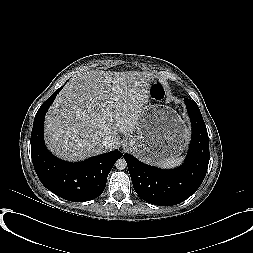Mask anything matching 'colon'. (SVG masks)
I'll return each instance as SVG.
<instances>
[{"label": "colon", "instance_id": "colon-1", "mask_svg": "<svg viewBox=\"0 0 253 253\" xmlns=\"http://www.w3.org/2000/svg\"><path fill=\"white\" fill-rule=\"evenodd\" d=\"M148 94L151 99L155 101H160L165 98L167 94V89L164 84L160 82H155L150 85L148 89Z\"/></svg>", "mask_w": 253, "mask_h": 253}]
</instances>
